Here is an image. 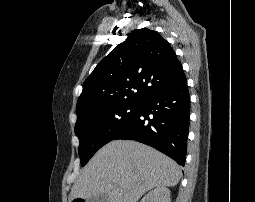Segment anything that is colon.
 <instances>
[{"mask_svg":"<svg viewBox=\"0 0 255 202\" xmlns=\"http://www.w3.org/2000/svg\"><path fill=\"white\" fill-rule=\"evenodd\" d=\"M74 202H83L82 200L74 201Z\"/></svg>","mask_w":255,"mask_h":202,"instance_id":"colon-1","label":"colon"}]
</instances>
